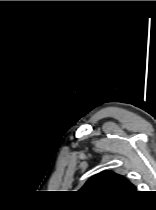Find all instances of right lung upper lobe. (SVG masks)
I'll return each instance as SVG.
<instances>
[{
	"label": "right lung upper lobe",
	"mask_w": 156,
	"mask_h": 210,
	"mask_svg": "<svg viewBox=\"0 0 156 210\" xmlns=\"http://www.w3.org/2000/svg\"><path fill=\"white\" fill-rule=\"evenodd\" d=\"M81 191L94 196H126L135 193L136 188L124 176L104 171L91 177Z\"/></svg>",
	"instance_id": "obj_1"
}]
</instances>
